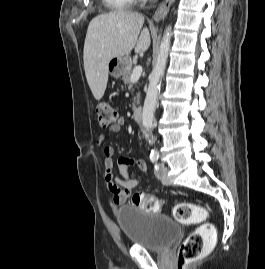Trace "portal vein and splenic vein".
Listing matches in <instances>:
<instances>
[{
  "mask_svg": "<svg viewBox=\"0 0 265 269\" xmlns=\"http://www.w3.org/2000/svg\"><path fill=\"white\" fill-rule=\"evenodd\" d=\"M141 74H142V66H136L131 75V82L137 81L141 77Z\"/></svg>",
  "mask_w": 265,
  "mask_h": 269,
  "instance_id": "portal-vein-and-splenic-vein-1",
  "label": "portal vein and splenic vein"
}]
</instances>
